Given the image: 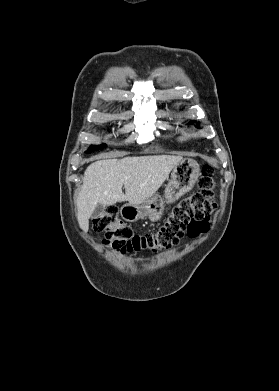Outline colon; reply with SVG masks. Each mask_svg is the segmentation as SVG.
<instances>
[{"mask_svg":"<svg viewBox=\"0 0 279 391\" xmlns=\"http://www.w3.org/2000/svg\"><path fill=\"white\" fill-rule=\"evenodd\" d=\"M198 187V192L173 206L163 224L153 232L135 234L131 226L120 218L116 207L107 209L95 218L94 230L103 232L104 243L123 254L169 249L175 246L185 233L190 237H198L209 227L217 207L213 167H203Z\"/></svg>","mask_w":279,"mask_h":391,"instance_id":"5ec220e1","label":"colon"}]
</instances>
